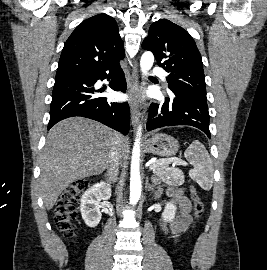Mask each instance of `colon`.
Here are the masks:
<instances>
[{"label":"colon","instance_id":"colon-1","mask_svg":"<svg viewBox=\"0 0 267 270\" xmlns=\"http://www.w3.org/2000/svg\"><path fill=\"white\" fill-rule=\"evenodd\" d=\"M87 186V180H78L72 183L62 192L56 202L54 210L55 223L66 238H71L74 235V223L77 219L76 205ZM189 191L194 214L197 218H200L204 214L205 204L195 186H191Z\"/></svg>","mask_w":267,"mask_h":270}]
</instances>
